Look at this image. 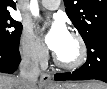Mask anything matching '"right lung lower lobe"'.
<instances>
[{"instance_id":"obj_1","label":"right lung lower lobe","mask_w":107,"mask_h":89,"mask_svg":"<svg viewBox=\"0 0 107 89\" xmlns=\"http://www.w3.org/2000/svg\"><path fill=\"white\" fill-rule=\"evenodd\" d=\"M21 61L18 50H9L0 46V72L14 73Z\"/></svg>"}]
</instances>
